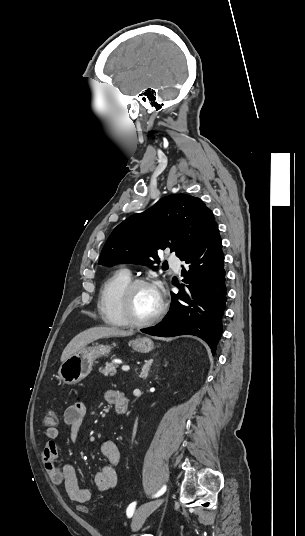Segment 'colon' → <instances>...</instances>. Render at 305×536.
I'll return each mask as SVG.
<instances>
[{
    "mask_svg": "<svg viewBox=\"0 0 305 536\" xmlns=\"http://www.w3.org/2000/svg\"><path fill=\"white\" fill-rule=\"evenodd\" d=\"M44 426L46 427H53L56 424V414L53 410H49L44 418H43ZM76 509L80 513H84L87 511L88 506L84 502H80L77 504Z\"/></svg>",
    "mask_w": 305,
    "mask_h": 536,
    "instance_id": "obj_1",
    "label": "colon"
}]
</instances>
